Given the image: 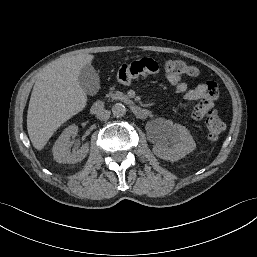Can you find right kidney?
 <instances>
[{"label": "right kidney", "mask_w": 257, "mask_h": 257, "mask_svg": "<svg viewBox=\"0 0 257 257\" xmlns=\"http://www.w3.org/2000/svg\"><path fill=\"white\" fill-rule=\"evenodd\" d=\"M78 133V127L76 125L68 126L60 135L58 140L53 146L54 160L59 163L74 164L82 161L89 152L88 143L83 144L79 150L72 152L69 150L70 138L75 137Z\"/></svg>", "instance_id": "1"}]
</instances>
